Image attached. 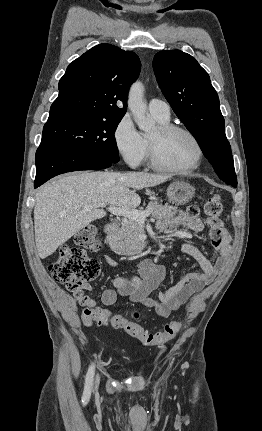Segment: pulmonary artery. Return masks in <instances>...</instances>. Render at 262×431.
<instances>
[{
	"mask_svg": "<svg viewBox=\"0 0 262 431\" xmlns=\"http://www.w3.org/2000/svg\"><path fill=\"white\" fill-rule=\"evenodd\" d=\"M148 108L151 114L162 118V119H168L170 117V108L169 105L160 99H151Z\"/></svg>",
	"mask_w": 262,
	"mask_h": 431,
	"instance_id": "obj_1",
	"label": "pulmonary artery"
}]
</instances>
